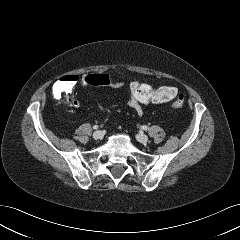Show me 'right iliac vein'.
<instances>
[{"mask_svg":"<svg viewBox=\"0 0 240 240\" xmlns=\"http://www.w3.org/2000/svg\"><path fill=\"white\" fill-rule=\"evenodd\" d=\"M93 138L95 140H101L103 138V132L98 130L93 133Z\"/></svg>","mask_w":240,"mask_h":240,"instance_id":"1","label":"right iliac vein"}]
</instances>
